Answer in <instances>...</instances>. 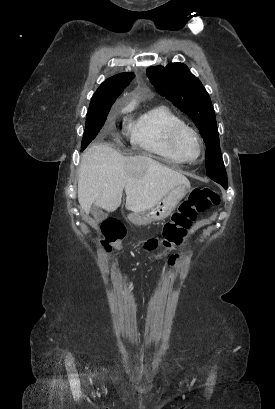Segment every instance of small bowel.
Here are the masks:
<instances>
[{"label": "small bowel", "instance_id": "1", "mask_svg": "<svg viewBox=\"0 0 275 409\" xmlns=\"http://www.w3.org/2000/svg\"><path fill=\"white\" fill-rule=\"evenodd\" d=\"M168 261H169L170 263H173V262L176 261V259H175L173 256H170V257L168 258ZM169 268H170V269H174V268H175V265H174V264H170V265H169ZM118 277H119V276H118Z\"/></svg>", "mask_w": 275, "mask_h": 409}]
</instances>
